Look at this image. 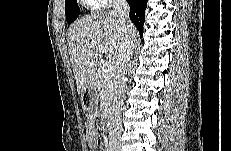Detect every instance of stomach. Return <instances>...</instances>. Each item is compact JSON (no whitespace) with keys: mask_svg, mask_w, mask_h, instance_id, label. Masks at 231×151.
Instances as JSON below:
<instances>
[{"mask_svg":"<svg viewBox=\"0 0 231 151\" xmlns=\"http://www.w3.org/2000/svg\"><path fill=\"white\" fill-rule=\"evenodd\" d=\"M97 100V91L93 86L87 88L82 94L81 102L85 109H90L94 106Z\"/></svg>","mask_w":231,"mask_h":151,"instance_id":"0dacf381","label":"stomach"}]
</instances>
